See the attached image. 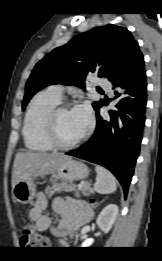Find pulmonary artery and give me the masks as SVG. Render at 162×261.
Returning a JSON list of instances; mask_svg holds the SVG:
<instances>
[{
    "instance_id": "pulmonary-artery-1",
    "label": "pulmonary artery",
    "mask_w": 162,
    "mask_h": 261,
    "mask_svg": "<svg viewBox=\"0 0 162 261\" xmlns=\"http://www.w3.org/2000/svg\"><path fill=\"white\" fill-rule=\"evenodd\" d=\"M98 86L100 87V89L110 93L112 90V85L110 83V81L106 80V79H98L97 81ZM49 91H51L53 94L57 95L58 97H61L63 94V87L59 84L56 85H52L48 88Z\"/></svg>"
}]
</instances>
